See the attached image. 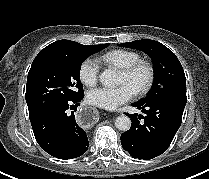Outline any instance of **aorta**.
Here are the masks:
<instances>
[{
  "instance_id": "762f6f07",
  "label": "aorta",
  "mask_w": 209,
  "mask_h": 179,
  "mask_svg": "<svg viewBox=\"0 0 209 179\" xmlns=\"http://www.w3.org/2000/svg\"><path fill=\"white\" fill-rule=\"evenodd\" d=\"M99 78L100 82L105 86H114L119 83L117 72L112 69L104 70ZM115 126L121 131H128L131 127V120L126 115L118 116L115 120Z\"/></svg>"
}]
</instances>
